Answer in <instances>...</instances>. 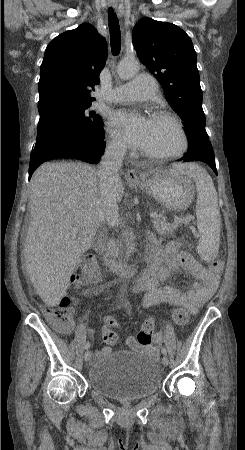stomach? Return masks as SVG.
Returning a JSON list of instances; mask_svg holds the SVG:
<instances>
[{"instance_id":"obj_1","label":"stomach","mask_w":245,"mask_h":450,"mask_svg":"<svg viewBox=\"0 0 245 450\" xmlns=\"http://www.w3.org/2000/svg\"><path fill=\"white\" fill-rule=\"evenodd\" d=\"M182 167L152 171L148 179L137 182V185L167 210H185L194 200L195 187Z\"/></svg>"}]
</instances>
